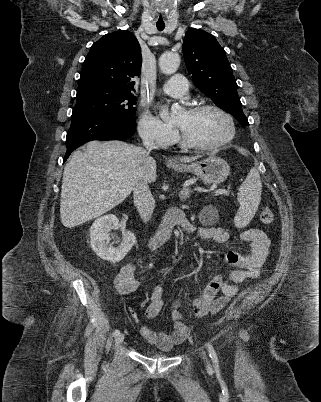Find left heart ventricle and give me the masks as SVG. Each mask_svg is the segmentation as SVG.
<instances>
[{"mask_svg":"<svg viewBox=\"0 0 321 402\" xmlns=\"http://www.w3.org/2000/svg\"><path fill=\"white\" fill-rule=\"evenodd\" d=\"M175 122L189 139L201 144L218 142L229 132L226 119L211 109L200 112H181Z\"/></svg>","mask_w":321,"mask_h":402,"instance_id":"b2bd125f","label":"left heart ventricle"}]
</instances>
